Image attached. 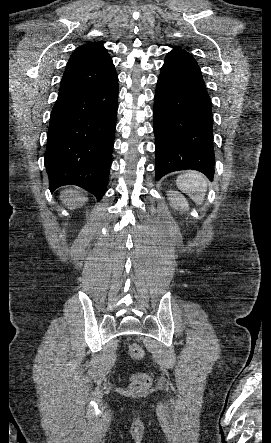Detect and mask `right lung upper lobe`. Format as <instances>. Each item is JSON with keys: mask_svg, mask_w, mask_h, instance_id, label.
I'll return each mask as SVG.
<instances>
[{"mask_svg": "<svg viewBox=\"0 0 271 443\" xmlns=\"http://www.w3.org/2000/svg\"><path fill=\"white\" fill-rule=\"evenodd\" d=\"M117 78L112 59L102 43L79 46L69 58L59 93L107 84Z\"/></svg>", "mask_w": 271, "mask_h": 443, "instance_id": "cb5924a9", "label": "right lung upper lobe"}]
</instances>
